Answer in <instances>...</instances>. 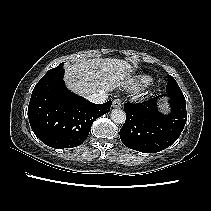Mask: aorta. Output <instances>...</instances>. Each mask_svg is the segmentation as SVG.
<instances>
[{"instance_id": "obj_1", "label": "aorta", "mask_w": 211, "mask_h": 211, "mask_svg": "<svg viewBox=\"0 0 211 211\" xmlns=\"http://www.w3.org/2000/svg\"><path fill=\"white\" fill-rule=\"evenodd\" d=\"M111 119L115 123L123 124L126 120V114L122 109H113L111 111Z\"/></svg>"}]
</instances>
